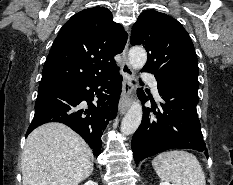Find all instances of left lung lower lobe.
<instances>
[{"label": "left lung lower lobe", "instance_id": "left-lung-lower-lobe-1", "mask_svg": "<svg viewBox=\"0 0 233 185\" xmlns=\"http://www.w3.org/2000/svg\"><path fill=\"white\" fill-rule=\"evenodd\" d=\"M157 83L164 102L158 111L152 107L154 115L149 114V108L143 110V120L132 138L136 165L173 148L194 149L208 156L196 111L199 84L190 81ZM139 97L143 102L147 100L141 90Z\"/></svg>", "mask_w": 233, "mask_h": 185}]
</instances>
